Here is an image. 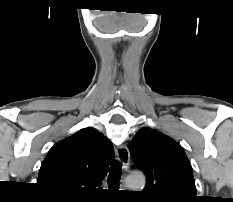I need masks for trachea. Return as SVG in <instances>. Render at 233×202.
<instances>
[{
	"instance_id": "obj_1",
	"label": "trachea",
	"mask_w": 233,
	"mask_h": 202,
	"mask_svg": "<svg viewBox=\"0 0 233 202\" xmlns=\"http://www.w3.org/2000/svg\"><path fill=\"white\" fill-rule=\"evenodd\" d=\"M122 165L117 161H112L108 175V186L118 187L121 178Z\"/></svg>"
}]
</instances>
